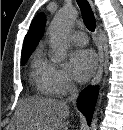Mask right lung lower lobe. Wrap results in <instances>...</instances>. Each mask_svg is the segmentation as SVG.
Listing matches in <instances>:
<instances>
[{
  "instance_id": "right-lung-lower-lobe-1",
  "label": "right lung lower lobe",
  "mask_w": 123,
  "mask_h": 130,
  "mask_svg": "<svg viewBox=\"0 0 123 130\" xmlns=\"http://www.w3.org/2000/svg\"><path fill=\"white\" fill-rule=\"evenodd\" d=\"M97 96H98V87L88 86L80 93L77 100L78 109L87 118L88 124L91 123Z\"/></svg>"
}]
</instances>
